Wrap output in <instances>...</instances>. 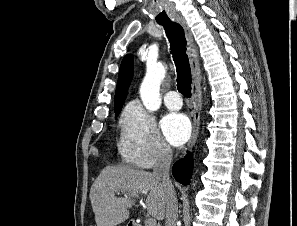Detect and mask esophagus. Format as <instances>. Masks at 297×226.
Segmentation results:
<instances>
[{"label": "esophagus", "mask_w": 297, "mask_h": 226, "mask_svg": "<svg viewBox=\"0 0 297 226\" xmlns=\"http://www.w3.org/2000/svg\"><path fill=\"white\" fill-rule=\"evenodd\" d=\"M175 21L180 24L185 32L187 39V54L190 61L191 71H192V101H193V127L190 140L187 144V149H192L195 145L199 129H200V114H201V88H200V63L198 53L195 48L192 32L183 17H176Z\"/></svg>", "instance_id": "1"}]
</instances>
